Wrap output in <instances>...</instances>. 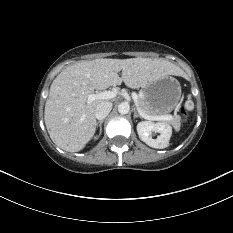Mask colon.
Segmentation results:
<instances>
[{"label": "colon", "instance_id": "colon-1", "mask_svg": "<svg viewBox=\"0 0 233 233\" xmlns=\"http://www.w3.org/2000/svg\"><path fill=\"white\" fill-rule=\"evenodd\" d=\"M179 111L183 118H186L188 116V110L184 104L180 105Z\"/></svg>", "mask_w": 233, "mask_h": 233}]
</instances>
